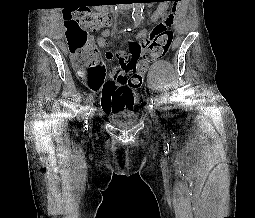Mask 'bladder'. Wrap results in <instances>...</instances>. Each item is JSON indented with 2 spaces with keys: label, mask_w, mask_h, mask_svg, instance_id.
Listing matches in <instances>:
<instances>
[{
  "label": "bladder",
  "mask_w": 255,
  "mask_h": 218,
  "mask_svg": "<svg viewBox=\"0 0 255 218\" xmlns=\"http://www.w3.org/2000/svg\"><path fill=\"white\" fill-rule=\"evenodd\" d=\"M111 121L121 128H129L136 122V115L132 113H116L111 117Z\"/></svg>",
  "instance_id": "1"
}]
</instances>
